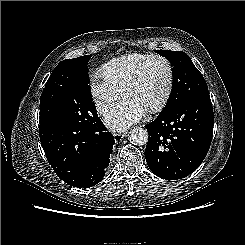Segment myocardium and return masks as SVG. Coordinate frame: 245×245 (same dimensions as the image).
Returning <instances> with one entry per match:
<instances>
[{
    "mask_svg": "<svg viewBox=\"0 0 245 245\" xmlns=\"http://www.w3.org/2000/svg\"><path fill=\"white\" fill-rule=\"evenodd\" d=\"M153 60H160L162 61L167 68V72H168V81H167V87L165 90L164 95L162 96V98L160 99V101L154 105L153 107H151L150 109H148L147 111L149 113H158L161 110H163V108L166 106V104L168 103L171 94H172V90H173V84H174V71H173V67L171 62L164 56L161 55H150L139 67L138 69L135 71V73L133 74V76L129 79V81L126 83L123 92L124 95H127L128 91L134 87L141 79L146 67L148 66V64L153 61Z\"/></svg>",
    "mask_w": 245,
    "mask_h": 245,
    "instance_id": "myocardium-1",
    "label": "myocardium"
}]
</instances>
